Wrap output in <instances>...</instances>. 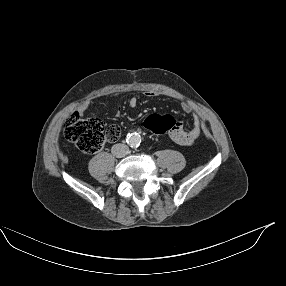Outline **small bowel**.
<instances>
[{
    "label": "small bowel",
    "mask_w": 286,
    "mask_h": 286,
    "mask_svg": "<svg viewBox=\"0 0 286 286\" xmlns=\"http://www.w3.org/2000/svg\"><path fill=\"white\" fill-rule=\"evenodd\" d=\"M147 97L153 98L157 96V93L154 91H148L145 93ZM128 105L131 108H135L138 105V98L136 96H131L128 99ZM87 104L82 105L81 110H85ZM184 110L186 112L191 111V107L187 104L184 105ZM120 108L118 109L117 115L120 114ZM202 124L198 118H196L194 126L190 130H186L181 123H178V126L171 130L169 133L170 138L179 146L187 147L191 146L199 137L201 132Z\"/></svg>",
    "instance_id": "c3829d8e"
}]
</instances>
